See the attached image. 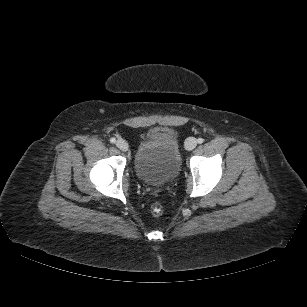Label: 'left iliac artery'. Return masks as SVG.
<instances>
[{"label": "left iliac artery", "instance_id": "obj_1", "mask_svg": "<svg viewBox=\"0 0 307 307\" xmlns=\"http://www.w3.org/2000/svg\"><path fill=\"white\" fill-rule=\"evenodd\" d=\"M203 141H204V139H203V138H198V139H197L198 144H202V143H203Z\"/></svg>", "mask_w": 307, "mask_h": 307}]
</instances>
